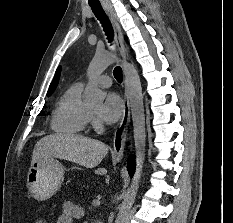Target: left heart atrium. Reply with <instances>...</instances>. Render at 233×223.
<instances>
[{
    "instance_id": "1",
    "label": "left heart atrium",
    "mask_w": 233,
    "mask_h": 223,
    "mask_svg": "<svg viewBox=\"0 0 233 223\" xmlns=\"http://www.w3.org/2000/svg\"><path fill=\"white\" fill-rule=\"evenodd\" d=\"M122 113L123 101L118 95L114 93H111L107 96L99 111L101 119L110 124L118 121Z\"/></svg>"
}]
</instances>
